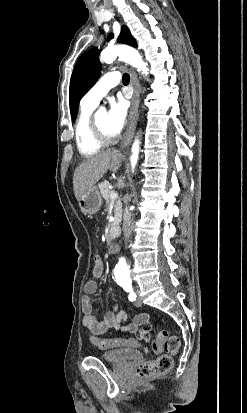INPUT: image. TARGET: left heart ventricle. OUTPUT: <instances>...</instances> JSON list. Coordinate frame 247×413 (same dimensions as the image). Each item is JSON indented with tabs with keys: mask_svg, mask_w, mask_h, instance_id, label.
<instances>
[{
	"mask_svg": "<svg viewBox=\"0 0 247 413\" xmlns=\"http://www.w3.org/2000/svg\"><path fill=\"white\" fill-rule=\"evenodd\" d=\"M98 122H99L100 125H104L105 122H106L105 116H101V117L98 119ZM105 125H106V124H105ZM102 131H103V133H104L105 135L111 136V134L109 133V131H108V129H107V126H106V128H102Z\"/></svg>",
	"mask_w": 247,
	"mask_h": 413,
	"instance_id": "obj_1",
	"label": "left heart ventricle"
}]
</instances>
